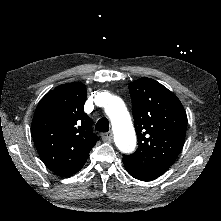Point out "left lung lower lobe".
<instances>
[{
  "mask_svg": "<svg viewBox=\"0 0 221 221\" xmlns=\"http://www.w3.org/2000/svg\"><path fill=\"white\" fill-rule=\"evenodd\" d=\"M123 163L125 165L126 170L128 171V173L132 177H134V178H136L138 180H141V181H151V180H154V179L146 176L145 174L141 173L139 170L129 166L126 162L123 161Z\"/></svg>",
  "mask_w": 221,
  "mask_h": 221,
  "instance_id": "0a47b994",
  "label": "left lung lower lobe"
}]
</instances>
